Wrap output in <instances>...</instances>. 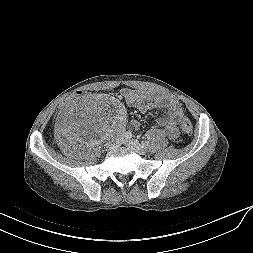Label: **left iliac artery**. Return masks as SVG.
I'll return each instance as SVG.
<instances>
[{
    "label": "left iliac artery",
    "mask_w": 253,
    "mask_h": 253,
    "mask_svg": "<svg viewBox=\"0 0 253 253\" xmlns=\"http://www.w3.org/2000/svg\"><path fill=\"white\" fill-rule=\"evenodd\" d=\"M142 146L146 148V147L149 146V143H148V142H143V143H142Z\"/></svg>",
    "instance_id": "1"
}]
</instances>
